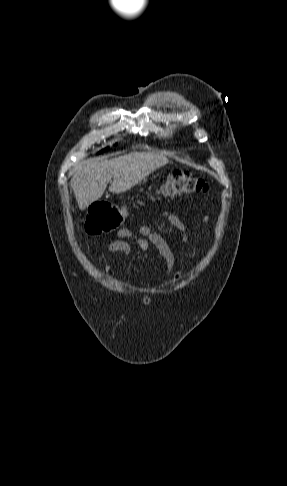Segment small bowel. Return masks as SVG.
I'll list each match as a JSON object with an SVG mask.
<instances>
[{
  "mask_svg": "<svg viewBox=\"0 0 287 486\" xmlns=\"http://www.w3.org/2000/svg\"><path fill=\"white\" fill-rule=\"evenodd\" d=\"M161 216L180 232L181 240L186 244L189 237L186 226L179 216L169 211L162 212ZM116 236L117 238L107 246L109 252L121 253L125 258H128L131 253V245L129 242L134 243L142 251H148L153 246L164 260L166 274L172 270L175 263L174 253L165 239L160 234L156 233L150 226L143 225L139 228L138 232L122 228L118 230ZM179 278L180 272L177 271L174 274V279L178 280Z\"/></svg>",
  "mask_w": 287,
  "mask_h": 486,
  "instance_id": "c3829d8e",
  "label": "small bowel"
}]
</instances>
